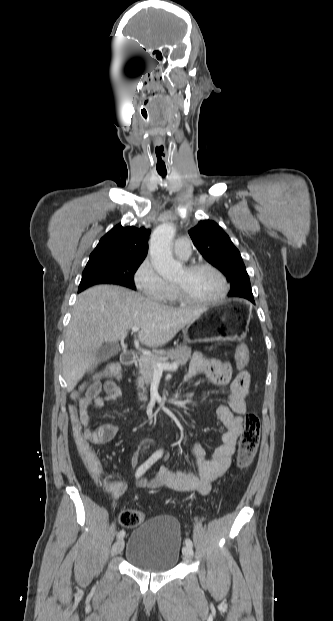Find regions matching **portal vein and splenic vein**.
Here are the masks:
<instances>
[{
    "instance_id": "18ae733b",
    "label": "portal vein and splenic vein",
    "mask_w": 333,
    "mask_h": 621,
    "mask_svg": "<svg viewBox=\"0 0 333 621\" xmlns=\"http://www.w3.org/2000/svg\"><path fill=\"white\" fill-rule=\"evenodd\" d=\"M139 330L138 326H134L132 327V331L133 332H137ZM178 369V364L173 363V364H166V363H156L154 371L157 373H162L164 370L167 371H177Z\"/></svg>"
}]
</instances>
